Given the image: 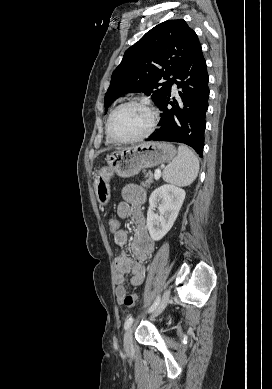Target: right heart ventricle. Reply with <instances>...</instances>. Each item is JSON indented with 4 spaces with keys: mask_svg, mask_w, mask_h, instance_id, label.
Listing matches in <instances>:
<instances>
[{
    "mask_svg": "<svg viewBox=\"0 0 272 389\" xmlns=\"http://www.w3.org/2000/svg\"><path fill=\"white\" fill-rule=\"evenodd\" d=\"M107 142H108V143H111V140L108 138V136H107Z\"/></svg>",
    "mask_w": 272,
    "mask_h": 389,
    "instance_id": "1",
    "label": "right heart ventricle"
}]
</instances>
